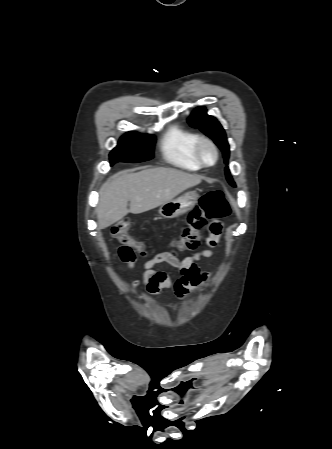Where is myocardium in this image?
<instances>
[{"label":"myocardium","instance_id":"obj_1","mask_svg":"<svg viewBox=\"0 0 332 449\" xmlns=\"http://www.w3.org/2000/svg\"><path fill=\"white\" fill-rule=\"evenodd\" d=\"M204 147H208L212 151L213 158L211 161H207L204 158L202 154V149ZM193 151L197 161L203 167H211L215 165L219 157V152L216 144L206 136H198V138L195 141Z\"/></svg>","mask_w":332,"mask_h":449}]
</instances>
